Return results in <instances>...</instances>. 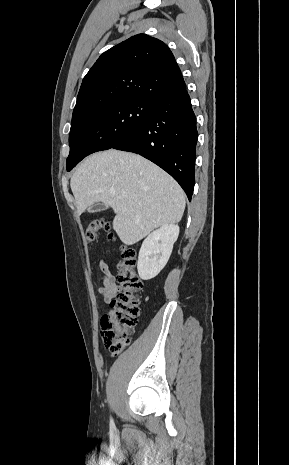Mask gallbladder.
<instances>
[{
  "label": "gallbladder",
  "instance_id": "bac80fb5",
  "mask_svg": "<svg viewBox=\"0 0 289 465\" xmlns=\"http://www.w3.org/2000/svg\"><path fill=\"white\" fill-rule=\"evenodd\" d=\"M107 208H108V206L106 204L96 203V204L91 205L88 208V212H99V211H102V210H106Z\"/></svg>",
  "mask_w": 289,
  "mask_h": 465
}]
</instances>
